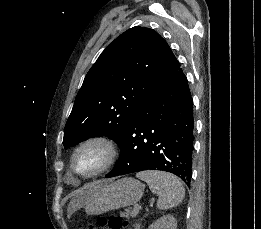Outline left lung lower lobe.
<instances>
[{
  "label": "left lung lower lobe",
  "instance_id": "0a47b994",
  "mask_svg": "<svg viewBox=\"0 0 261 229\" xmlns=\"http://www.w3.org/2000/svg\"><path fill=\"white\" fill-rule=\"evenodd\" d=\"M194 118L187 78L179 68L147 97L120 145L121 153L106 178L157 169L192 177Z\"/></svg>",
  "mask_w": 261,
  "mask_h": 229
}]
</instances>
